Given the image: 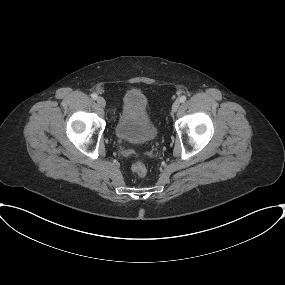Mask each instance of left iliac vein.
<instances>
[{"label":"left iliac vein","instance_id":"1","mask_svg":"<svg viewBox=\"0 0 285 285\" xmlns=\"http://www.w3.org/2000/svg\"><path fill=\"white\" fill-rule=\"evenodd\" d=\"M180 107V101L176 100L172 105V111L176 112Z\"/></svg>","mask_w":285,"mask_h":285}]
</instances>
